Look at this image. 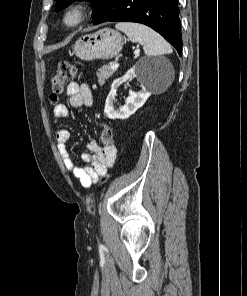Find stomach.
Returning a JSON list of instances; mask_svg holds the SVG:
<instances>
[{
  "mask_svg": "<svg viewBox=\"0 0 247 296\" xmlns=\"http://www.w3.org/2000/svg\"><path fill=\"white\" fill-rule=\"evenodd\" d=\"M123 45L124 41L120 33L104 28L79 37L74 44V53L83 61L108 60L116 57Z\"/></svg>",
  "mask_w": 247,
  "mask_h": 296,
  "instance_id": "0dacf381",
  "label": "stomach"
}]
</instances>
